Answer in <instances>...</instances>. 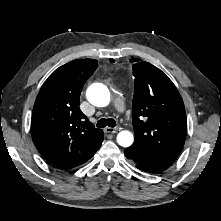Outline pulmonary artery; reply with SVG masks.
<instances>
[{"label":"pulmonary artery","mask_w":221,"mask_h":221,"mask_svg":"<svg viewBox=\"0 0 221 221\" xmlns=\"http://www.w3.org/2000/svg\"><path fill=\"white\" fill-rule=\"evenodd\" d=\"M114 107L119 112L125 111V102L122 96L117 95L113 100Z\"/></svg>","instance_id":"e3ab8cb5"}]
</instances>
